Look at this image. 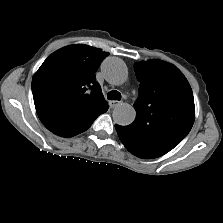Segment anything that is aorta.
<instances>
[{"label": "aorta", "mask_w": 223, "mask_h": 223, "mask_svg": "<svg viewBox=\"0 0 223 223\" xmlns=\"http://www.w3.org/2000/svg\"><path fill=\"white\" fill-rule=\"evenodd\" d=\"M102 72L106 80L113 85H121L127 78L126 64L119 58L109 57L101 65ZM113 120L116 124L127 126L133 123L136 118V111L128 103L118 104L112 113Z\"/></svg>", "instance_id": "obj_1"}]
</instances>
